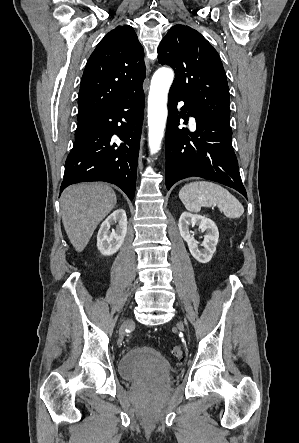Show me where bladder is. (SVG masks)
<instances>
[{
    "mask_svg": "<svg viewBox=\"0 0 299 443\" xmlns=\"http://www.w3.org/2000/svg\"><path fill=\"white\" fill-rule=\"evenodd\" d=\"M118 372L127 380L161 383L169 380L171 366L156 349L138 346L130 349L120 358Z\"/></svg>",
    "mask_w": 299,
    "mask_h": 443,
    "instance_id": "31cf9c89",
    "label": "bladder"
}]
</instances>
